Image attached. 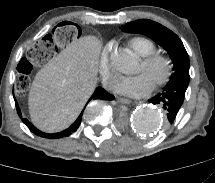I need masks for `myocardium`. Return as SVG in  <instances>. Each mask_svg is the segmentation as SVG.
<instances>
[{
	"mask_svg": "<svg viewBox=\"0 0 215 183\" xmlns=\"http://www.w3.org/2000/svg\"><path fill=\"white\" fill-rule=\"evenodd\" d=\"M141 62L147 68L153 67L158 64L163 66L164 72L161 77L154 81V87L163 86L170 80L173 72V64L171 59L165 54H162L160 52H153L149 55L143 56Z\"/></svg>",
	"mask_w": 215,
	"mask_h": 183,
	"instance_id": "1",
	"label": "myocardium"
}]
</instances>
